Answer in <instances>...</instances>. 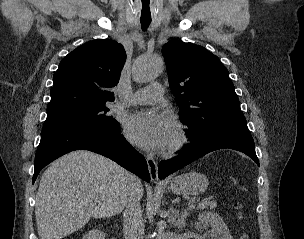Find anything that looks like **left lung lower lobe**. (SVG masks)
<instances>
[{
  "label": "left lung lower lobe",
  "mask_w": 304,
  "mask_h": 239,
  "mask_svg": "<svg viewBox=\"0 0 304 239\" xmlns=\"http://www.w3.org/2000/svg\"><path fill=\"white\" fill-rule=\"evenodd\" d=\"M230 148L241 151L251 157L259 166L254 141L250 132L227 131L204 138L198 142H191V146L172 159L161 161L158 176L164 179L190 162L205 154L219 149Z\"/></svg>",
  "instance_id": "obj_1"
}]
</instances>
